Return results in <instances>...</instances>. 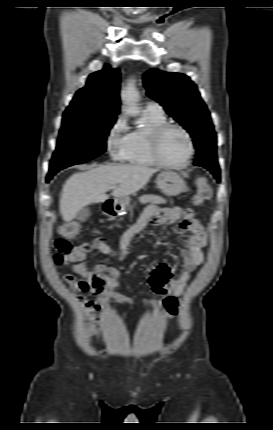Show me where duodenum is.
Masks as SVG:
<instances>
[{
    "label": "duodenum",
    "instance_id": "obj_1",
    "mask_svg": "<svg viewBox=\"0 0 273 430\" xmlns=\"http://www.w3.org/2000/svg\"><path fill=\"white\" fill-rule=\"evenodd\" d=\"M107 212H108V213H111V210H108Z\"/></svg>",
    "mask_w": 273,
    "mask_h": 430
}]
</instances>
